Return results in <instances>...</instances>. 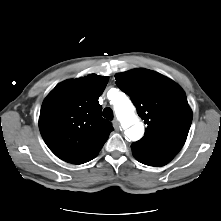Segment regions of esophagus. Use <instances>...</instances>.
Here are the masks:
<instances>
[{
	"label": "esophagus",
	"mask_w": 221,
	"mask_h": 221,
	"mask_svg": "<svg viewBox=\"0 0 221 221\" xmlns=\"http://www.w3.org/2000/svg\"><path fill=\"white\" fill-rule=\"evenodd\" d=\"M113 126L116 130L120 129V123L117 119L113 120Z\"/></svg>",
	"instance_id": "1"
}]
</instances>
